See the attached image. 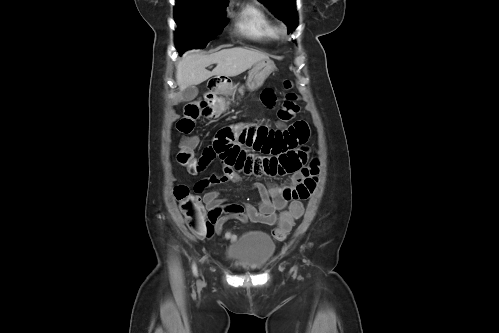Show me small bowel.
Instances as JSON below:
<instances>
[{
    "mask_svg": "<svg viewBox=\"0 0 499 333\" xmlns=\"http://www.w3.org/2000/svg\"><path fill=\"white\" fill-rule=\"evenodd\" d=\"M262 100L267 107L274 106L273 91L266 89ZM309 136L310 128L305 120H297L281 129L237 124L217 132L211 145L203 150L198 164L201 172L215 158H219L222 173L207 176L195 185L194 190L197 193L207 190L203 202L215 233L222 240L237 241V235L224 231L228 221H251L273 226L279 220L278 212L283 211L289 202L305 200L312 195L317 184L319 162L310 158V149L306 145ZM242 172L268 177L288 175L289 181L284 184H255L259 196L257 206L250 203L226 204L220 193L211 188L225 182L241 181Z\"/></svg>",
    "mask_w": 499,
    "mask_h": 333,
    "instance_id": "c3829d8e",
    "label": "small bowel"
}]
</instances>
